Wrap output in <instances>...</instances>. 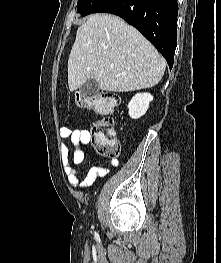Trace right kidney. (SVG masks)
Here are the masks:
<instances>
[{"label": "right kidney", "instance_id": "1", "mask_svg": "<svg viewBox=\"0 0 221 263\" xmlns=\"http://www.w3.org/2000/svg\"><path fill=\"white\" fill-rule=\"evenodd\" d=\"M152 100L153 96L149 93H137L128 103L129 116L132 119L142 117L147 112Z\"/></svg>", "mask_w": 221, "mask_h": 263}]
</instances>
